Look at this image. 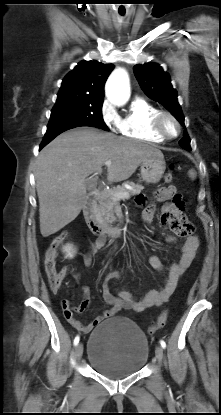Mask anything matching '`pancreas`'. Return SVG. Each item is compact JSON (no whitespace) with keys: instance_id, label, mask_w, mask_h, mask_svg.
I'll return each instance as SVG.
<instances>
[{"instance_id":"obj_1","label":"pancreas","mask_w":221,"mask_h":415,"mask_svg":"<svg viewBox=\"0 0 221 415\" xmlns=\"http://www.w3.org/2000/svg\"><path fill=\"white\" fill-rule=\"evenodd\" d=\"M126 185L131 186L132 189H127ZM143 189L144 187L142 185L127 181L116 188L103 190L98 198V204L94 209L96 219L102 224L114 223L117 220L114 214V207L120 201L114 194L117 192H128L129 196H134L139 194Z\"/></svg>"}]
</instances>
